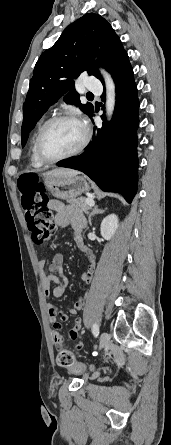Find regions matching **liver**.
<instances>
[{"mask_svg":"<svg viewBox=\"0 0 171 445\" xmlns=\"http://www.w3.org/2000/svg\"><path fill=\"white\" fill-rule=\"evenodd\" d=\"M78 171L65 168L54 169L46 172L44 175L76 176Z\"/></svg>","mask_w":171,"mask_h":445,"instance_id":"6515ba94","label":"liver"}]
</instances>
